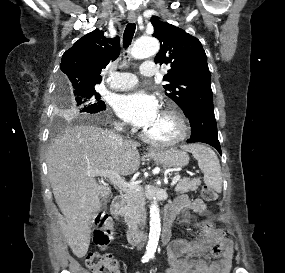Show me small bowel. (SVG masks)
Returning a JSON list of instances; mask_svg holds the SVG:
<instances>
[{
    "label": "small bowel",
    "mask_w": 285,
    "mask_h": 273,
    "mask_svg": "<svg viewBox=\"0 0 285 273\" xmlns=\"http://www.w3.org/2000/svg\"><path fill=\"white\" fill-rule=\"evenodd\" d=\"M184 207H190L199 214L208 212L203 200L187 196L180 197L166 210L172 209L177 213ZM200 232L199 242L176 240L170 244L167 251L169 268L166 273H229L233 255L232 242L210 220L201 223Z\"/></svg>",
    "instance_id": "c3829d8e"
}]
</instances>
